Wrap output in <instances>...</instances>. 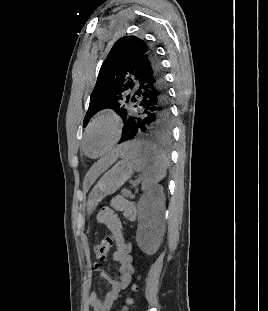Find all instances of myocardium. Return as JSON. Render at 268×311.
Listing matches in <instances>:
<instances>
[{
  "label": "myocardium",
  "mask_w": 268,
  "mask_h": 311,
  "mask_svg": "<svg viewBox=\"0 0 268 311\" xmlns=\"http://www.w3.org/2000/svg\"><path fill=\"white\" fill-rule=\"evenodd\" d=\"M101 122H109L112 125L113 135H112L111 140L109 141V143L107 144V146L105 147V149L101 153H99L97 155H91L87 151L86 140H87L89 133L93 130V128ZM121 131H122V123H121V120L117 114H115L112 111L101 112V113L97 114L87 125L85 132H84V135H83V138H82V148L88 156H91L94 158L101 157V156L105 155L107 152H109L112 149V147L118 142L120 135H121Z\"/></svg>",
  "instance_id": "obj_1"
}]
</instances>
